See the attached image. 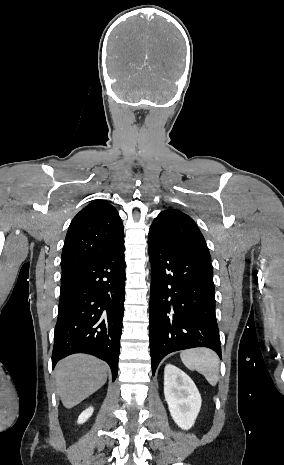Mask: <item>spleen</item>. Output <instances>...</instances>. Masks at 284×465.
Wrapping results in <instances>:
<instances>
[{
	"label": "spleen",
	"mask_w": 284,
	"mask_h": 465,
	"mask_svg": "<svg viewBox=\"0 0 284 465\" xmlns=\"http://www.w3.org/2000/svg\"><path fill=\"white\" fill-rule=\"evenodd\" d=\"M181 361L190 371H198L215 387L219 379V357L211 349H188L181 351Z\"/></svg>",
	"instance_id": "1"
}]
</instances>
